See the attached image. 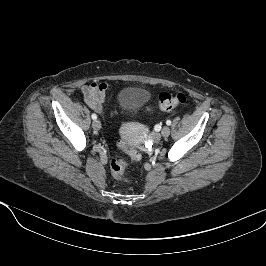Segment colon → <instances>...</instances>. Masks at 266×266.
Masks as SVG:
<instances>
[{
  "label": "colon",
  "instance_id": "1",
  "mask_svg": "<svg viewBox=\"0 0 266 266\" xmlns=\"http://www.w3.org/2000/svg\"><path fill=\"white\" fill-rule=\"evenodd\" d=\"M186 102V96L182 92L174 94L162 93L159 95L158 107L163 111H170L173 108L183 105ZM118 147L124 151L132 162H138L141 159V153L131 144L124 140L118 142ZM128 167V162L124 159H114L110 163L112 176L117 180H124V172Z\"/></svg>",
  "mask_w": 266,
  "mask_h": 266
}]
</instances>
